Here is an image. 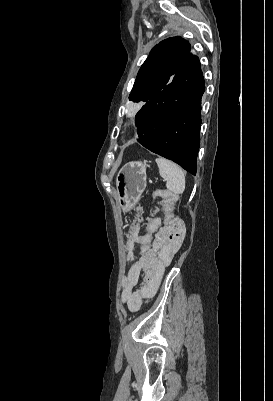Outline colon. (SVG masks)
Instances as JSON below:
<instances>
[{
  "mask_svg": "<svg viewBox=\"0 0 273 401\" xmlns=\"http://www.w3.org/2000/svg\"><path fill=\"white\" fill-rule=\"evenodd\" d=\"M182 230V232H175ZM158 241H184V223L171 216L165 217L164 229L157 233ZM149 279V276H146Z\"/></svg>",
  "mask_w": 273,
  "mask_h": 401,
  "instance_id": "1",
  "label": "colon"
}]
</instances>
